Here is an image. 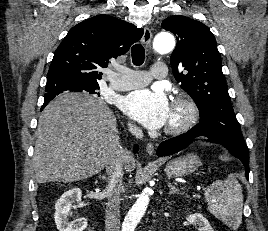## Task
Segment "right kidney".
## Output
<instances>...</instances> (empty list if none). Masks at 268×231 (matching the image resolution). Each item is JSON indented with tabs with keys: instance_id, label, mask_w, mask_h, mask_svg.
<instances>
[{
	"instance_id": "right-kidney-1",
	"label": "right kidney",
	"mask_w": 268,
	"mask_h": 231,
	"mask_svg": "<svg viewBox=\"0 0 268 231\" xmlns=\"http://www.w3.org/2000/svg\"><path fill=\"white\" fill-rule=\"evenodd\" d=\"M82 191L73 188L66 191L55 204V223L59 231H83L88 223L87 219L82 218L77 223L69 222L68 216L73 208V203L80 202Z\"/></svg>"
}]
</instances>
